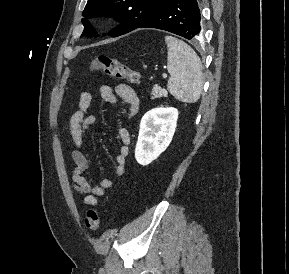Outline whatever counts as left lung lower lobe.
Returning <instances> with one entry per match:
<instances>
[{"mask_svg": "<svg viewBox=\"0 0 289 274\" xmlns=\"http://www.w3.org/2000/svg\"><path fill=\"white\" fill-rule=\"evenodd\" d=\"M200 9L197 0H165L137 28H157L196 39L201 32Z\"/></svg>", "mask_w": 289, "mask_h": 274, "instance_id": "0a47b994", "label": "left lung lower lobe"}]
</instances>
